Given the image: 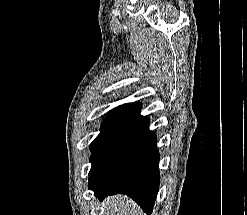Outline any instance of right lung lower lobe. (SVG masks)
I'll list each match as a JSON object with an SVG mask.
<instances>
[{"label": "right lung lower lobe", "mask_w": 247, "mask_h": 215, "mask_svg": "<svg viewBox=\"0 0 247 215\" xmlns=\"http://www.w3.org/2000/svg\"><path fill=\"white\" fill-rule=\"evenodd\" d=\"M141 103L111 110L91 143L89 189L103 200L123 193L151 214L159 190L157 138L149 119L140 115Z\"/></svg>", "instance_id": "1"}]
</instances>
